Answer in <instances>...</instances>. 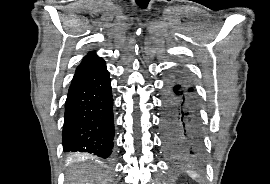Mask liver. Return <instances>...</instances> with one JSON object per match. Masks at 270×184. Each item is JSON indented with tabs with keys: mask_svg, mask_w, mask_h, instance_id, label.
I'll return each instance as SVG.
<instances>
[{
	"mask_svg": "<svg viewBox=\"0 0 270 184\" xmlns=\"http://www.w3.org/2000/svg\"><path fill=\"white\" fill-rule=\"evenodd\" d=\"M107 172L103 166H85L72 170L67 176L68 184H106Z\"/></svg>",
	"mask_w": 270,
	"mask_h": 184,
	"instance_id": "6515ba94",
	"label": "liver"
}]
</instances>
